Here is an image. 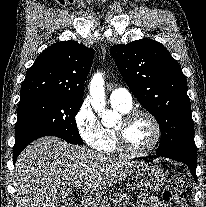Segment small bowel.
Wrapping results in <instances>:
<instances>
[{"instance_id":"c3829d8e","label":"small bowel","mask_w":206,"mask_h":207,"mask_svg":"<svg viewBox=\"0 0 206 207\" xmlns=\"http://www.w3.org/2000/svg\"><path fill=\"white\" fill-rule=\"evenodd\" d=\"M136 207H167L163 202L148 196L141 197L140 203Z\"/></svg>"}]
</instances>
